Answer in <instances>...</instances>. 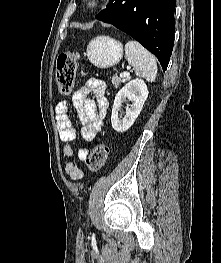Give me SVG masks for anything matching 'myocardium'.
Here are the masks:
<instances>
[{
  "label": "myocardium",
  "instance_id": "f54148a6",
  "mask_svg": "<svg viewBox=\"0 0 221 263\" xmlns=\"http://www.w3.org/2000/svg\"><path fill=\"white\" fill-rule=\"evenodd\" d=\"M104 0H84L83 4L87 10H96L102 6Z\"/></svg>",
  "mask_w": 221,
  "mask_h": 263
}]
</instances>
